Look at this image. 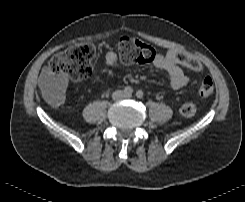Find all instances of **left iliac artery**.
Here are the masks:
<instances>
[{"label":"left iliac artery","mask_w":245,"mask_h":202,"mask_svg":"<svg viewBox=\"0 0 245 202\" xmlns=\"http://www.w3.org/2000/svg\"><path fill=\"white\" fill-rule=\"evenodd\" d=\"M136 96H137V98L141 99V98H143L144 93H143L141 90H138V91L136 92Z\"/></svg>","instance_id":"1"}]
</instances>
